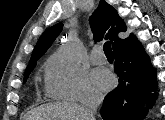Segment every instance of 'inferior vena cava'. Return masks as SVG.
Listing matches in <instances>:
<instances>
[{
    "mask_svg": "<svg viewBox=\"0 0 165 120\" xmlns=\"http://www.w3.org/2000/svg\"><path fill=\"white\" fill-rule=\"evenodd\" d=\"M102 101V94L93 91L89 92L82 102V120H95L94 114Z\"/></svg>",
    "mask_w": 165,
    "mask_h": 120,
    "instance_id": "1",
    "label": "inferior vena cava"
}]
</instances>
